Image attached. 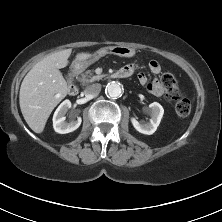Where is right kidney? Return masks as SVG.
Here are the masks:
<instances>
[{"label":"right kidney","mask_w":222,"mask_h":222,"mask_svg":"<svg viewBox=\"0 0 222 222\" xmlns=\"http://www.w3.org/2000/svg\"><path fill=\"white\" fill-rule=\"evenodd\" d=\"M70 108L71 102L69 100H65L56 109L53 115V128L57 133H70L80 126L82 122L81 117H77V119H71L69 122L65 121V114Z\"/></svg>","instance_id":"obj_1"}]
</instances>
